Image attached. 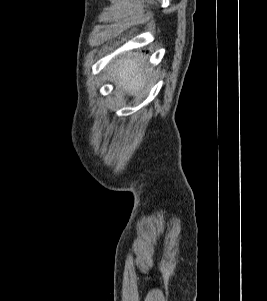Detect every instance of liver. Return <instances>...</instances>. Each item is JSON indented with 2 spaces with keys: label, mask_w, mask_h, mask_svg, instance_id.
<instances>
[{
  "label": "liver",
  "mask_w": 267,
  "mask_h": 301,
  "mask_svg": "<svg viewBox=\"0 0 267 301\" xmlns=\"http://www.w3.org/2000/svg\"><path fill=\"white\" fill-rule=\"evenodd\" d=\"M108 69L113 72L117 88H121L131 95H136L142 91L148 78L147 73H145L144 60L141 58L122 57Z\"/></svg>",
  "instance_id": "6515ba94"
}]
</instances>
